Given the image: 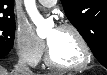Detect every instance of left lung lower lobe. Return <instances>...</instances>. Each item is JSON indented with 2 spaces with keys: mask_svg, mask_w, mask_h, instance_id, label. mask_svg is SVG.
<instances>
[{
  "mask_svg": "<svg viewBox=\"0 0 107 75\" xmlns=\"http://www.w3.org/2000/svg\"><path fill=\"white\" fill-rule=\"evenodd\" d=\"M105 53H106V50L101 47L97 52L96 54L94 55L97 60L104 66V65H107L106 63V60H105Z\"/></svg>",
  "mask_w": 107,
  "mask_h": 75,
  "instance_id": "obj_1",
  "label": "left lung lower lobe"
}]
</instances>
